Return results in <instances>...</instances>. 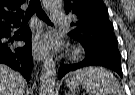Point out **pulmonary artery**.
<instances>
[{"label": "pulmonary artery", "instance_id": "1", "mask_svg": "<svg viewBox=\"0 0 135 95\" xmlns=\"http://www.w3.org/2000/svg\"><path fill=\"white\" fill-rule=\"evenodd\" d=\"M51 20L54 24H60L64 20V14L58 10H53L51 12Z\"/></svg>", "mask_w": 135, "mask_h": 95}]
</instances>
